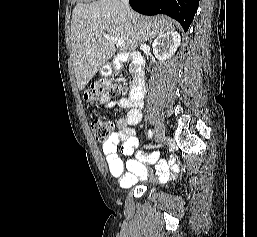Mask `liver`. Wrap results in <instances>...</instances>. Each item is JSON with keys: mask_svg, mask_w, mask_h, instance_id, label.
Segmentation results:
<instances>
[{"mask_svg": "<svg viewBox=\"0 0 257 237\" xmlns=\"http://www.w3.org/2000/svg\"><path fill=\"white\" fill-rule=\"evenodd\" d=\"M174 29L171 19L165 16L148 17L134 11L128 16L119 0L78 3L72 13L71 46L79 90L115 53V44L107 41L103 33L124 40L126 47L135 51L140 42Z\"/></svg>", "mask_w": 257, "mask_h": 237, "instance_id": "6515ba94", "label": "liver"}]
</instances>
